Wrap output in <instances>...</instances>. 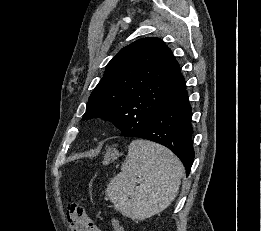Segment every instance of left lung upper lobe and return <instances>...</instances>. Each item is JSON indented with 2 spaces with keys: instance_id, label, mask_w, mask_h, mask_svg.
Listing matches in <instances>:
<instances>
[{
  "instance_id": "left-lung-upper-lobe-1",
  "label": "left lung upper lobe",
  "mask_w": 261,
  "mask_h": 231,
  "mask_svg": "<svg viewBox=\"0 0 261 231\" xmlns=\"http://www.w3.org/2000/svg\"><path fill=\"white\" fill-rule=\"evenodd\" d=\"M185 88L178 62L166 44L155 37L140 39L107 64L82 119L102 117L122 132L141 131Z\"/></svg>"
}]
</instances>
